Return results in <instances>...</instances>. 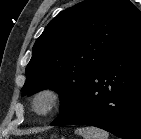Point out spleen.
I'll use <instances>...</instances> for the list:
<instances>
[{
	"label": "spleen",
	"instance_id": "spleen-1",
	"mask_svg": "<svg viewBox=\"0 0 141 139\" xmlns=\"http://www.w3.org/2000/svg\"><path fill=\"white\" fill-rule=\"evenodd\" d=\"M76 133L81 135L83 139H108V132L96 127H82L76 130Z\"/></svg>",
	"mask_w": 141,
	"mask_h": 139
}]
</instances>
